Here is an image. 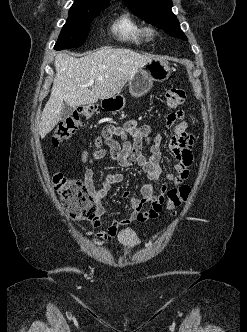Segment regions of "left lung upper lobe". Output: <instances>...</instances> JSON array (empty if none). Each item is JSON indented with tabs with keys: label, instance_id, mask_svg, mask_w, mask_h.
<instances>
[{
	"label": "left lung upper lobe",
	"instance_id": "5c2ea615",
	"mask_svg": "<svg viewBox=\"0 0 247 332\" xmlns=\"http://www.w3.org/2000/svg\"><path fill=\"white\" fill-rule=\"evenodd\" d=\"M124 2L136 16L164 29L170 36L187 40L180 29L177 17L172 13L171 0H124Z\"/></svg>",
	"mask_w": 247,
	"mask_h": 332
}]
</instances>
